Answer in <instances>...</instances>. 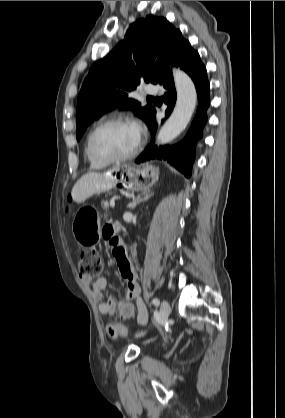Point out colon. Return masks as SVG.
<instances>
[{"mask_svg": "<svg viewBox=\"0 0 285 418\" xmlns=\"http://www.w3.org/2000/svg\"><path fill=\"white\" fill-rule=\"evenodd\" d=\"M115 259L118 261L124 260L126 258V253L123 245H119L113 251ZM78 273L82 277H96L101 273L102 264L101 259L96 251H84L80 254L78 264H77ZM109 333H118L120 335H127V329L119 324L114 323L108 327Z\"/></svg>", "mask_w": 285, "mask_h": 418, "instance_id": "1", "label": "colon"}]
</instances>
